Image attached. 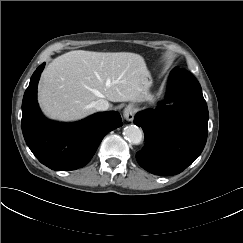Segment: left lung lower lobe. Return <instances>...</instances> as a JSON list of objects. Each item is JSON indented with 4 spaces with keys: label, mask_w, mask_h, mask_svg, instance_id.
<instances>
[{
    "label": "left lung lower lobe",
    "mask_w": 243,
    "mask_h": 243,
    "mask_svg": "<svg viewBox=\"0 0 243 243\" xmlns=\"http://www.w3.org/2000/svg\"><path fill=\"white\" fill-rule=\"evenodd\" d=\"M167 98L174 104L139 112L134 119L145 134L137 162L162 176L178 174L198 158L206 144L209 119L201 86L190 72L172 70Z\"/></svg>",
    "instance_id": "left-lung-lower-lobe-1"
}]
</instances>
